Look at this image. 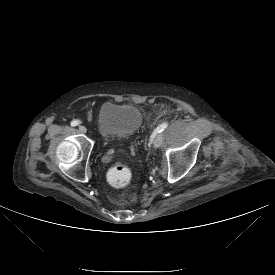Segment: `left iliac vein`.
Instances as JSON below:
<instances>
[{
    "label": "left iliac vein",
    "instance_id": "left-iliac-vein-1",
    "mask_svg": "<svg viewBox=\"0 0 275 275\" xmlns=\"http://www.w3.org/2000/svg\"><path fill=\"white\" fill-rule=\"evenodd\" d=\"M163 142V136L161 134L156 135L154 138V147L158 148L162 145Z\"/></svg>",
    "mask_w": 275,
    "mask_h": 275
}]
</instances>
